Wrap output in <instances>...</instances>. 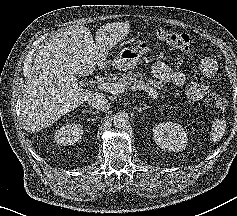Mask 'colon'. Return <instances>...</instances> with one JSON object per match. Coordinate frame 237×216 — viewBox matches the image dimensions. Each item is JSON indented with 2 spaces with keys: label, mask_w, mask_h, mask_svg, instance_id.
I'll list each match as a JSON object with an SVG mask.
<instances>
[{
  "label": "colon",
  "mask_w": 237,
  "mask_h": 216,
  "mask_svg": "<svg viewBox=\"0 0 237 216\" xmlns=\"http://www.w3.org/2000/svg\"><path fill=\"white\" fill-rule=\"evenodd\" d=\"M155 35L158 39L179 50L187 51L190 48L191 40L185 33H169L163 30H157ZM214 101L216 107L221 110L226 109L229 105L228 97L224 94L216 95Z\"/></svg>",
  "instance_id": "5ec220e1"
}]
</instances>
